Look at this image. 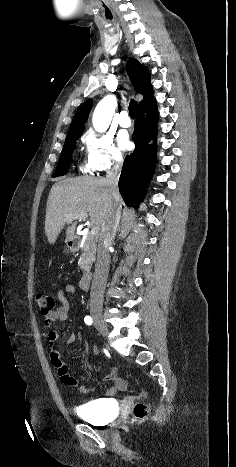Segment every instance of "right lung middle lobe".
Masks as SVG:
<instances>
[{
  "instance_id": "1",
  "label": "right lung middle lobe",
  "mask_w": 236,
  "mask_h": 467,
  "mask_svg": "<svg viewBox=\"0 0 236 467\" xmlns=\"http://www.w3.org/2000/svg\"><path fill=\"white\" fill-rule=\"evenodd\" d=\"M81 133H75L67 135L63 150L61 152L60 160L53 177L63 176L69 169L71 155L76 146V141L80 137Z\"/></svg>"
}]
</instances>
